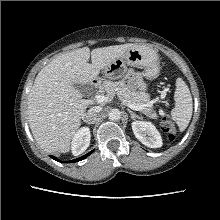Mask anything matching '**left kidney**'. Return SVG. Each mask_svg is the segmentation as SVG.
Masks as SVG:
<instances>
[{
  "label": "left kidney",
  "instance_id": "1",
  "mask_svg": "<svg viewBox=\"0 0 220 220\" xmlns=\"http://www.w3.org/2000/svg\"><path fill=\"white\" fill-rule=\"evenodd\" d=\"M131 126L135 137L143 145L150 148H159L162 146L161 135L151 122L134 121Z\"/></svg>",
  "mask_w": 220,
  "mask_h": 220
}]
</instances>
